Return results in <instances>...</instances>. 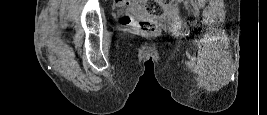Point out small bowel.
Segmentation results:
<instances>
[{
    "label": "small bowel",
    "mask_w": 267,
    "mask_h": 115,
    "mask_svg": "<svg viewBox=\"0 0 267 115\" xmlns=\"http://www.w3.org/2000/svg\"><path fill=\"white\" fill-rule=\"evenodd\" d=\"M117 5L122 9H126L129 12H133L136 14L142 13L144 11V7L142 4L133 1H119Z\"/></svg>",
    "instance_id": "small-bowel-1"
}]
</instances>
